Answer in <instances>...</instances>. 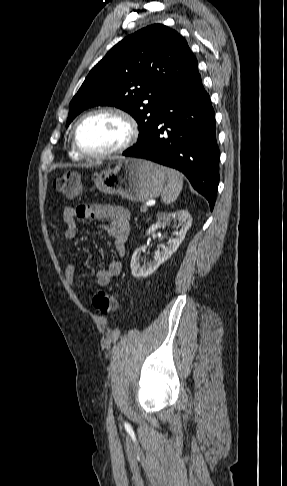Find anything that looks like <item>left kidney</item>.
Masks as SVG:
<instances>
[{
    "label": "left kidney",
    "instance_id": "5707ae66",
    "mask_svg": "<svg viewBox=\"0 0 287 486\" xmlns=\"http://www.w3.org/2000/svg\"><path fill=\"white\" fill-rule=\"evenodd\" d=\"M171 221L181 222V229L175 232V238L169 239L167 245L162 250H157L154 255V260L146 265H141V253L145 250L140 247L135 250L131 259V271L135 278L147 277L157 270V268L164 263L168 258L176 252L180 244L185 238V235L192 225V217L187 210H180L174 213L161 212L157 214V222L147 230L146 234L151 235L157 229L165 227Z\"/></svg>",
    "mask_w": 287,
    "mask_h": 486
}]
</instances>
